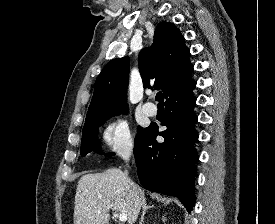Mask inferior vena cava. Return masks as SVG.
Returning <instances> with one entry per match:
<instances>
[{"instance_id": "602c4592", "label": "inferior vena cava", "mask_w": 275, "mask_h": 224, "mask_svg": "<svg viewBox=\"0 0 275 224\" xmlns=\"http://www.w3.org/2000/svg\"><path fill=\"white\" fill-rule=\"evenodd\" d=\"M131 156V151H125L121 154V157L127 162ZM127 175V172H126Z\"/></svg>"}]
</instances>
